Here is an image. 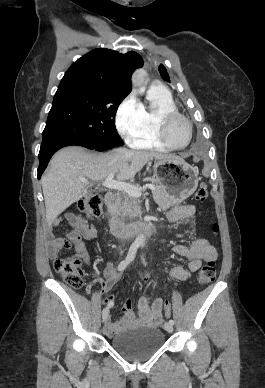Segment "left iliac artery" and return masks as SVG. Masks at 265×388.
Listing matches in <instances>:
<instances>
[{
    "instance_id": "1",
    "label": "left iliac artery",
    "mask_w": 265,
    "mask_h": 388,
    "mask_svg": "<svg viewBox=\"0 0 265 388\" xmlns=\"http://www.w3.org/2000/svg\"><path fill=\"white\" fill-rule=\"evenodd\" d=\"M142 260H143V263L146 264L145 259H144L143 257H142ZM169 323L172 324V325H174V320H172V319L169 320Z\"/></svg>"
}]
</instances>
